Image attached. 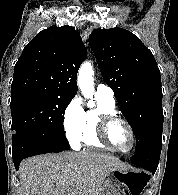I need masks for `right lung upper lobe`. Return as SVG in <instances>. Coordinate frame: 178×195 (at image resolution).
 <instances>
[{
	"mask_svg": "<svg viewBox=\"0 0 178 195\" xmlns=\"http://www.w3.org/2000/svg\"><path fill=\"white\" fill-rule=\"evenodd\" d=\"M87 55L80 33L53 25L39 32L23 49L11 85V95L26 92L74 97L77 72Z\"/></svg>",
	"mask_w": 178,
	"mask_h": 195,
	"instance_id": "right-lung-upper-lobe-1",
	"label": "right lung upper lobe"
}]
</instances>
